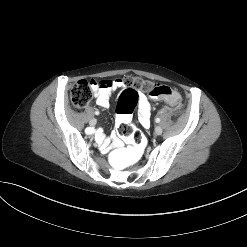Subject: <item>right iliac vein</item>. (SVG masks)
<instances>
[{
    "label": "right iliac vein",
    "mask_w": 247,
    "mask_h": 247,
    "mask_svg": "<svg viewBox=\"0 0 247 247\" xmlns=\"http://www.w3.org/2000/svg\"><path fill=\"white\" fill-rule=\"evenodd\" d=\"M96 123H97V120H96L95 118L91 119L90 122H89V124H90L91 126H95Z\"/></svg>",
    "instance_id": "63e3f726"
}]
</instances>
